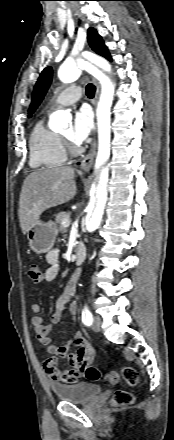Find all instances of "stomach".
Here are the masks:
<instances>
[{
	"label": "stomach",
	"instance_id": "stomach-1",
	"mask_svg": "<svg viewBox=\"0 0 174 440\" xmlns=\"http://www.w3.org/2000/svg\"><path fill=\"white\" fill-rule=\"evenodd\" d=\"M57 233L54 223L37 220L27 233L30 248L37 254L47 253L52 249Z\"/></svg>",
	"mask_w": 174,
	"mask_h": 440
}]
</instances>
